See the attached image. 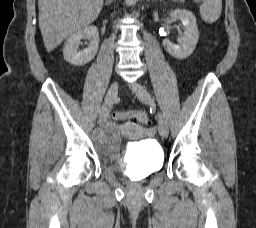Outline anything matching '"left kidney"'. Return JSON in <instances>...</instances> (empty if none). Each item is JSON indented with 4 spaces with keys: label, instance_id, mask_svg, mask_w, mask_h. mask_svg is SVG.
Here are the masks:
<instances>
[{
    "label": "left kidney",
    "instance_id": "left-kidney-1",
    "mask_svg": "<svg viewBox=\"0 0 256 228\" xmlns=\"http://www.w3.org/2000/svg\"><path fill=\"white\" fill-rule=\"evenodd\" d=\"M169 15L183 23L184 36L178 41V45L171 43L168 39H164L163 46L175 58L185 59L193 53L199 38L195 15L185 9L173 10Z\"/></svg>",
    "mask_w": 256,
    "mask_h": 228
}]
</instances>
